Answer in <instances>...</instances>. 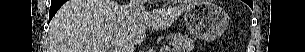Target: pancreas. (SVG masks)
Here are the masks:
<instances>
[{
    "instance_id": "1",
    "label": "pancreas",
    "mask_w": 305,
    "mask_h": 52,
    "mask_svg": "<svg viewBox=\"0 0 305 52\" xmlns=\"http://www.w3.org/2000/svg\"><path fill=\"white\" fill-rule=\"evenodd\" d=\"M195 39L188 35H175L171 37L172 52H191Z\"/></svg>"
}]
</instances>
